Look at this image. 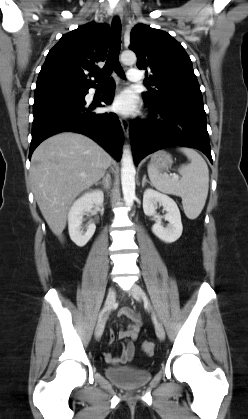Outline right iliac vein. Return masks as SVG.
Wrapping results in <instances>:
<instances>
[{
    "instance_id": "63e3f726",
    "label": "right iliac vein",
    "mask_w": 248,
    "mask_h": 419,
    "mask_svg": "<svg viewBox=\"0 0 248 419\" xmlns=\"http://www.w3.org/2000/svg\"><path fill=\"white\" fill-rule=\"evenodd\" d=\"M115 299H116V291L113 287H111L108 291L106 301H105L104 308L106 309V311H109L113 307V305L115 303ZM105 322H106V314L101 317V319L99 320V322L96 326V329H95V338L96 339L101 338V336L103 334V331H104Z\"/></svg>"
}]
</instances>
